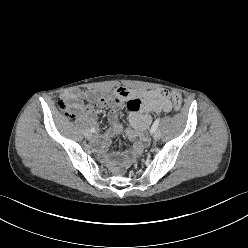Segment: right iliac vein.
<instances>
[{"instance_id":"obj_1","label":"right iliac vein","mask_w":248,"mask_h":248,"mask_svg":"<svg viewBox=\"0 0 248 248\" xmlns=\"http://www.w3.org/2000/svg\"><path fill=\"white\" fill-rule=\"evenodd\" d=\"M84 135H85V137H86L87 139H91V138H92V133H91L90 130H86L85 133H84Z\"/></svg>"}]
</instances>
